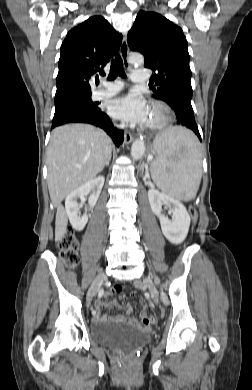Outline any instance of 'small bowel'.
Returning <instances> with one entry per match:
<instances>
[{"label": "small bowel", "instance_id": "c3829d8e", "mask_svg": "<svg viewBox=\"0 0 252 390\" xmlns=\"http://www.w3.org/2000/svg\"><path fill=\"white\" fill-rule=\"evenodd\" d=\"M114 292L113 289H109L107 292H106V295L109 296L111 295L112 293ZM121 298L124 297V295H120ZM140 303H141V311H140V320L134 318L131 316V313H132V307L130 304H127L126 305V309H127V312L126 314L124 315H115V316H110V315H102L100 313V310L103 308V307H111V308H118L119 307V303L116 301V300H112L111 302H109L108 304L106 303H103V302H100V301H97L95 303V310L93 311L94 312V315H93V320L95 322H100V321H115V322H120V323H126V324H129L130 326L134 327V328H137V329H148L150 327V325L154 322V318L153 317H150L148 316V313H147V304L146 302L141 299L140 300Z\"/></svg>", "mask_w": 252, "mask_h": 390}]
</instances>
